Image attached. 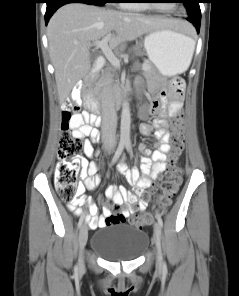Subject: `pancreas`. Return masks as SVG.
<instances>
[{
	"instance_id": "cf45deb5",
	"label": "pancreas",
	"mask_w": 239,
	"mask_h": 296,
	"mask_svg": "<svg viewBox=\"0 0 239 296\" xmlns=\"http://www.w3.org/2000/svg\"><path fill=\"white\" fill-rule=\"evenodd\" d=\"M136 54H140V52L136 51ZM146 65H147L148 69H147V71L144 73V75H145L146 77H152V76L156 75V70L154 69L153 65H152L151 63H147ZM105 80H106V78H105V77H102V78L99 80V84H100V85L104 84ZM115 82H116V83H115V85H114V90H115V91H118V90H119V82H118V80H116ZM98 90H99V88H98Z\"/></svg>"
}]
</instances>
